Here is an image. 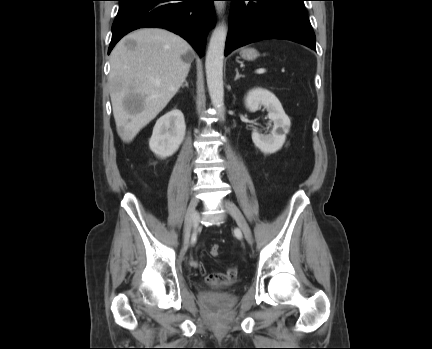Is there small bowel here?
Instances as JSON below:
<instances>
[{
  "label": "small bowel",
  "instance_id": "1",
  "mask_svg": "<svg viewBox=\"0 0 432 349\" xmlns=\"http://www.w3.org/2000/svg\"><path fill=\"white\" fill-rule=\"evenodd\" d=\"M200 272L205 273L203 267H200ZM237 268L230 267L225 272L209 273L205 275V282L210 286H223L232 283L237 277Z\"/></svg>",
  "mask_w": 432,
  "mask_h": 349
}]
</instances>
